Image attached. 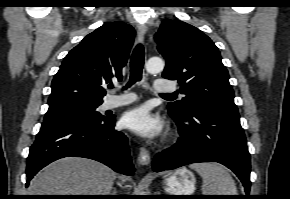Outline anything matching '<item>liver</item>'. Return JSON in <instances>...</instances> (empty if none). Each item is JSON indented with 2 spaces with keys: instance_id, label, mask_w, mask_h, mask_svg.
<instances>
[{
  "instance_id": "1",
  "label": "liver",
  "mask_w": 290,
  "mask_h": 199,
  "mask_svg": "<svg viewBox=\"0 0 290 199\" xmlns=\"http://www.w3.org/2000/svg\"><path fill=\"white\" fill-rule=\"evenodd\" d=\"M116 174L94 160L66 157L57 160L30 182V195H110Z\"/></svg>"
}]
</instances>
